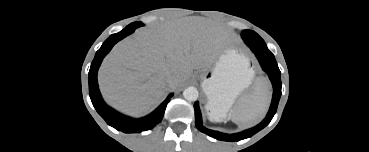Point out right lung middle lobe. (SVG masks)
Returning a JSON list of instances; mask_svg holds the SVG:
<instances>
[{"label": "right lung middle lobe", "instance_id": "obj_1", "mask_svg": "<svg viewBox=\"0 0 369 152\" xmlns=\"http://www.w3.org/2000/svg\"><path fill=\"white\" fill-rule=\"evenodd\" d=\"M143 24L141 23V22H134V23H132V24H130V25H128L127 27H131V26H137V27H140V26H142Z\"/></svg>", "mask_w": 369, "mask_h": 152}]
</instances>
